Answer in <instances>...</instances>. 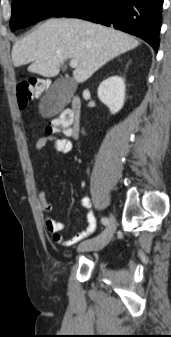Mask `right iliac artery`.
<instances>
[{
  "mask_svg": "<svg viewBox=\"0 0 171 337\" xmlns=\"http://www.w3.org/2000/svg\"><path fill=\"white\" fill-rule=\"evenodd\" d=\"M101 222L103 223V225L107 226L109 224V219L107 217H103L101 219Z\"/></svg>",
  "mask_w": 171,
  "mask_h": 337,
  "instance_id": "1",
  "label": "right iliac artery"
}]
</instances>
